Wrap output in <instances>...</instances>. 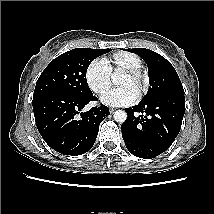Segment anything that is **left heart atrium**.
<instances>
[{"instance_id": "left-heart-atrium-1", "label": "left heart atrium", "mask_w": 214, "mask_h": 214, "mask_svg": "<svg viewBox=\"0 0 214 214\" xmlns=\"http://www.w3.org/2000/svg\"><path fill=\"white\" fill-rule=\"evenodd\" d=\"M138 91L131 86H121L116 89L107 91L101 101L105 105L112 107L127 106L137 101Z\"/></svg>"}]
</instances>
